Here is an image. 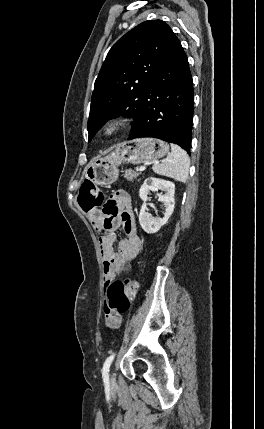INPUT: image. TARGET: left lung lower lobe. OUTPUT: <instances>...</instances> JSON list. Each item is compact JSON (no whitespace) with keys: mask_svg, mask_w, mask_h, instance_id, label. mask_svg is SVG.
<instances>
[{"mask_svg":"<svg viewBox=\"0 0 264 429\" xmlns=\"http://www.w3.org/2000/svg\"><path fill=\"white\" fill-rule=\"evenodd\" d=\"M194 91L187 56L172 32L157 72L148 86L139 120L129 140L153 137L190 152Z\"/></svg>","mask_w":264,"mask_h":429,"instance_id":"obj_1","label":"left lung lower lobe"}]
</instances>
